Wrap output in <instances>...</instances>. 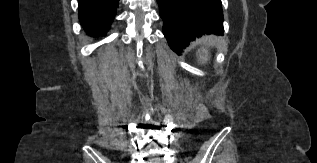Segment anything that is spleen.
<instances>
[{
  "mask_svg": "<svg viewBox=\"0 0 317 163\" xmlns=\"http://www.w3.org/2000/svg\"><path fill=\"white\" fill-rule=\"evenodd\" d=\"M197 55L199 58V62L201 64H205L209 60V52H208L207 48H202V49L198 50Z\"/></svg>",
  "mask_w": 317,
  "mask_h": 163,
  "instance_id": "1",
  "label": "spleen"
}]
</instances>
